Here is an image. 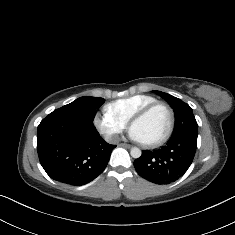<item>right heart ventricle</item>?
I'll list each match as a JSON object with an SVG mask.
<instances>
[{
  "label": "right heart ventricle",
  "instance_id": "right-heart-ventricle-1",
  "mask_svg": "<svg viewBox=\"0 0 235 235\" xmlns=\"http://www.w3.org/2000/svg\"><path fill=\"white\" fill-rule=\"evenodd\" d=\"M156 102L158 100L152 95L138 93L117 99L110 106L117 116L129 121L136 113Z\"/></svg>",
  "mask_w": 235,
  "mask_h": 235
}]
</instances>
